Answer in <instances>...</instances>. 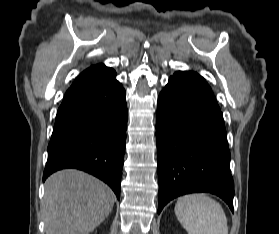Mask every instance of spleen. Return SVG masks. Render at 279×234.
<instances>
[{"label": "spleen", "instance_id": "3e777b00", "mask_svg": "<svg viewBox=\"0 0 279 234\" xmlns=\"http://www.w3.org/2000/svg\"><path fill=\"white\" fill-rule=\"evenodd\" d=\"M175 214L188 234H228L227 218L222 206L205 194L179 198Z\"/></svg>", "mask_w": 279, "mask_h": 234}]
</instances>
